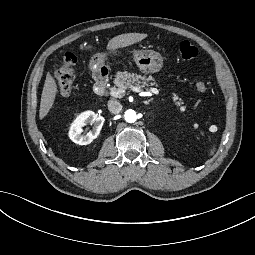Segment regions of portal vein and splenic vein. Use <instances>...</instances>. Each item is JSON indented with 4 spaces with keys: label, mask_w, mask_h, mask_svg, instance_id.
Segmentation results:
<instances>
[{
    "label": "portal vein and splenic vein",
    "mask_w": 255,
    "mask_h": 255,
    "mask_svg": "<svg viewBox=\"0 0 255 255\" xmlns=\"http://www.w3.org/2000/svg\"><path fill=\"white\" fill-rule=\"evenodd\" d=\"M131 89H132V91L139 93L140 96H144V97L152 96V94H159V91L157 88H150V90L147 92H142L140 87H137V86H131ZM124 92H125L124 89L112 88L110 91V95L115 98H121L123 96Z\"/></svg>",
    "instance_id": "portal-vein-and-splenic-vein-1"
}]
</instances>
